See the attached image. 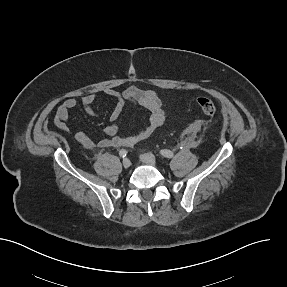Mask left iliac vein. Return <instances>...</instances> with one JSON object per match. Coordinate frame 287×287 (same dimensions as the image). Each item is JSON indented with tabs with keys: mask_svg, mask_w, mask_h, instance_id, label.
<instances>
[{
	"mask_svg": "<svg viewBox=\"0 0 287 287\" xmlns=\"http://www.w3.org/2000/svg\"><path fill=\"white\" fill-rule=\"evenodd\" d=\"M141 162L155 166L157 164V160L154 155L150 153H144L140 155Z\"/></svg>",
	"mask_w": 287,
	"mask_h": 287,
	"instance_id": "4c4485c4",
	"label": "left iliac vein"
}]
</instances>
